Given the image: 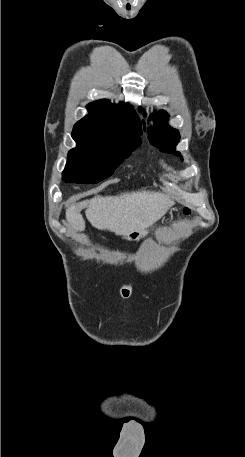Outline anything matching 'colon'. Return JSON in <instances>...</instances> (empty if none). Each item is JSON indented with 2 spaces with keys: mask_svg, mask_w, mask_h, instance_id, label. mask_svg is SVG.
<instances>
[{
  "mask_svg": "<svg viewBox=\"0 0 245 457\" xmlns=\"http://www.w3.org/2000/svg\"><path fill=\"white\" fill-rule=\"evenodd\" d=\"M190 213H191V211H190V209H189V208H186V209H184V216H186V217H187V216H189V215H190Z\"/></svg>",
  "mask_w": 245,
  "mask_h": 457,
  "instance_id": "5ec220e1",
  "label": "colon"
}]
</instances>
